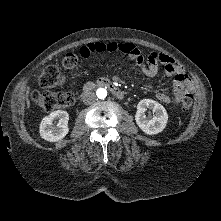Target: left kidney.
Returning a JSON list of instances; mask_svg holds the SVG:
<instances>
[{
  "instance_id": "1",
  "label": "left kidney",
  "mask_w": 221,
  "mask_h": 221,
  "mask_svg": "<svg viewBox=\"0 0 221 221\" xmlns=\"http://www.w3.org/2000/svg\"><path fill=\"white\" fill-rule=\"evenodd\" d=\"M152 109L153 116L147 117L145 111ZM168 120L166 109L157 101L143 99L137 105L135 121L139 128L148 135H155L164 130Z\"/></svg>"
}]
</instances>
